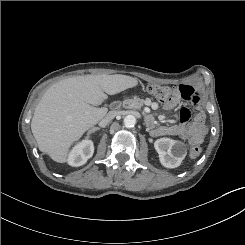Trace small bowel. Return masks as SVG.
Returning a JSON list of instances; mask_svg holds the SVG:
<instances>
[{
  "label": "small bowel",
  "mask_w": 245,
  "mask_h": 245,
  "mask_svg": "<svg viewBox=\"0 0 245 245\" xmlns=\"http://www.w3.org/2000/svg\"><path fill=\"white\" fill-rule=\"evenodd\" d=\"M200 97V92L192 85L182 84L175 88L173 96L164 103V108L172 110L181 103L182 99L196 103ZM191 117L192 110L185 107L180 110L177 124L157 126L152 120V123L149 124L151 134L154 136H179L191 145H199L204 142L207 136L205 114L200 110L193 116L192 120H190Z\"/></svg>",
  "instance_id": "c3829d8e"
}]
</instances>
